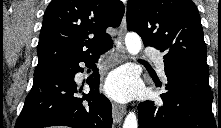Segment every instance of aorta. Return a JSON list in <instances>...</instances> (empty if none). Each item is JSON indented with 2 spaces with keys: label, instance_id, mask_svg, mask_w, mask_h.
<instances>
[{
  "label": "aorta",
  "instance_id": "aorta-1",
  "mask_svg": "<svg viewBox=\"0 0 221 128\" xmlns=\"http://www.w3.org/2000/svg\"><path fill=\"white\" fill-rule=\"evenodd\" d=\"M125 45L126 49L129 52V54L135 56L139 53L142 47V41L140 36L135 32H129L126 34L125 37ZM138 127V121L136 114L131 111L126 116L123 128H137Z\"/></svg>",
  "mask_w": 221,
  "mask_h": 128
}]
</instances>
